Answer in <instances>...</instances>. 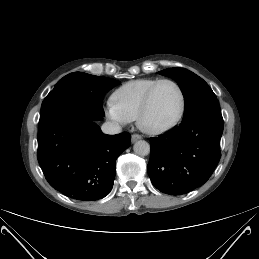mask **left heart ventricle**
<instances>
[{
  "label": "left heart ventricle",
  "instance_id": "obj_1",
  "mask_svg": "<svg viewBox=\"0 0 259 259\" xmlns=\"http://www.w3.org/2000/svg\"><path fill=\"white\" fill-rule=\"evenodd\" d=\"M180 97L176 87L170 83L160 84L154 92L145 123L160 127L172 121L178 113Z\"/></svg>",
  "mask_w": 259,
  "mask_h": 259
}]
</instances>
